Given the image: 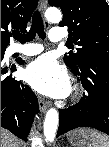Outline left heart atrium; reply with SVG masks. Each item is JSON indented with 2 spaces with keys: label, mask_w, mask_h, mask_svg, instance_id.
I'll return each mask as SVG.
<instances>
[{
  "label": "left heart atrium",
  "mask_w": 109,
  "mask_h": 147,
  "mask_svg": "<svg viewBox=\"0 0 109 147\" xmlns=\"http://www.w3.org/2000/svg\"><path fill=\"white\" fill-rule=\"evenodd\" d=\"M25 79L34 89L53 98H64L71 91L66 68L51 55L32 62L26 69Z\"/></svg>",
  "instance_id": "obj_1"
}]
</instances>
